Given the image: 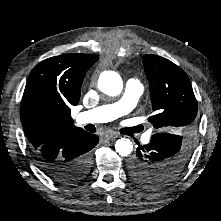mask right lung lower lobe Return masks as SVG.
Here are the masks:
<instances>
[{
	"mask_svg": "<svg viewBox=\"0 0 221 221\" xmlns=\"http://www.w3.org/2000/svg\"><path fill=\"white\" fill-rule=\"evenodd\" d=\"M98 136L86 131L60 135L33 150L40 168L60 183H72L85 177L90 168V150Z\"/></svg>",
	"mask_w": 221,
	"mask_h": 221,
	"instance_id": "98d812e1",
	"label": "right lung lower lobe"
}]
</instances>
